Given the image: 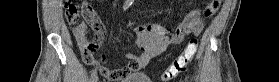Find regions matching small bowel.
<instances>
[{
    "mask_svg": "<svg viewBox=\"0 0 279 82\" xmlns=\"http://www.w3.org/2000/svg\"><path fill=\"white\" fill-rule=\"evenodd\" d=\"M219 7L220 4H209L203 12L199 9L190 11L174 30L158 25H140L136 22H130L129 26L136 31L137 45L142 52L139 55L125 54V58L129 62L121 69L111 70L105 64L94 59V50L101 45L106 36V28L102 22L100 27L92 28L95 33V38L92 41L86 36V27L84 29L73 27V35L82 52L84 61L90 66L98 68L107 79L116 81L144 68L151 59L165 53L171 45L182 43L186 35L190 33L200 34L205 26V20L213 16ZM114 72L119 75L114 76Z\"/></svg>",
    "mask_w": 279,
    "mask_h": 82,
    "instance_id": "c3829d8e",
    "label": "small bowel"
}]
</instances>
